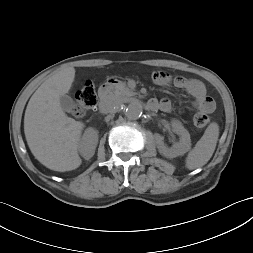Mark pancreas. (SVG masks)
<instances>
[{
    "instance_id": "pancreas-1",
    "label": "pancreas",
    "mask_w": 253,
    "mask_h": 253,
    "mask_svg": "<svg viewBox=\"0 0 253 253\" xmlns=\"http://www.w3.org/2000/svg\"><path fill=\"white\" fill-rule=\"evenodd\" d=\"M114 94L116 96L125 97L132 96L135 93L130 88H128L124 82L120 81L115 85Z\"/></svg>"
}]
</instances>
